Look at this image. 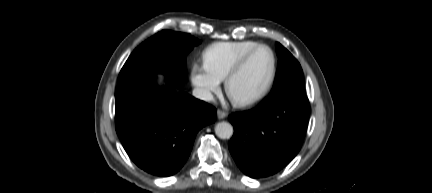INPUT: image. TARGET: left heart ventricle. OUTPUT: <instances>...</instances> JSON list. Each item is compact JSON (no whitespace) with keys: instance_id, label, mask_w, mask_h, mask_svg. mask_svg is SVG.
<instances>
[{"instance_id":"obj_1","label":"left heart ventricle","mask_w":432,"mask_h":193,"mask_svg":"<svg viewBox=\"0 0 432 193\" xmlns=\"http://www.w3.org/2000/svg\"><path fill=\"white\" fill-rule=\"evenodd\" d=\"M272 69V55L267 49L255 52L231 82L230 91L236 99L257 95L265 87Z\"/></svg>"}]
</instances>
